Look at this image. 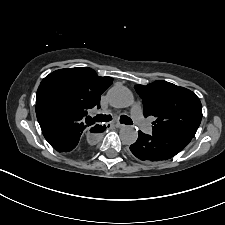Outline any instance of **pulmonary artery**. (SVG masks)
<instances>
[{
    "instance_id": "1",
    "label": "pulmonary artery",
    "mask_w": 225,
    "mask_h": 225,
    "mask_svg": "<svg viewBox=\"0 0 225 225\" xmlns=\"http://www.w3.org/2000/svg\"><path fill=\"white\" fill-rule=\"evenodd\" d=\"M131 115L142 131L147 134H151L153 132L151 125L144 118L142 109L139 105H134L131 108Z\"/></svg>"
}]
</instances>
